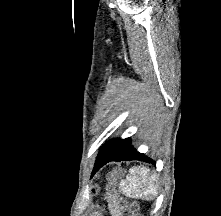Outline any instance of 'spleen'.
<instances>
[{"label": "spleen", "mask_w": 221, "mask_h": 216, "mask_svg": "<svg viewBox=\"0 0 221 216\" xmlns=\"http://www.w3.org/2000/svg\"><path fill=\"white\" fill-rule=\"evenodd\" d=\"M126 180H121L120 189L132 198L152 197L157 194V180L147 167H132Z\"/></svg>", "instance_id": "3e777b00"}]
</instances>
